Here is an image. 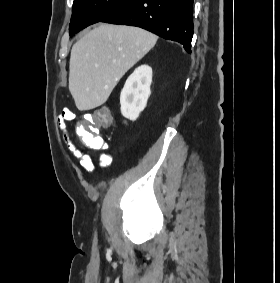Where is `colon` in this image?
Here are the masks:
<instances>
[{"label": "colon", "mask_w": 280, "mask_h": 283, "mask_svg": "<svg viewBox=\"0 0 280 283\" xmlns=\"http://www.w3.org/2000/svg\"><path fill=\"white\" fill-rule=\"evenodd\" d=\"M66 112H72L66 109ZM82 119H94L99 127H88L86 123L80 122L77 125V135L80 141L93 149H101L104 146V139L95 132H102V127H113L112 111L106 107H99L98 110H86V114H82Z\"/></svg>", "instance_id": "obj_1"}]
</instances>
